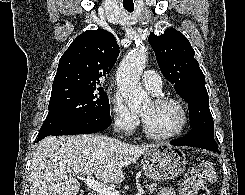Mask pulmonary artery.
Returning a JSON list of instances; mask_svg holds the SVG:
<instances>
[{
    "label": "pulmonary artery",
    "instance_id": "pulmonary-artery-1",
    "mask_svg": "<svg viewBox=\"0 0 245 195\" xmlns=\"http://www.w3.org/2000/svg\"><path fill=\"white\" fill-rule=\"evenodd\" d=\"M142 84L151 94L156 95L162 89V80L159 74L153 70H145L141 77Z\"/></svg>",
    "mask_w": 245,
    "mask_h": 195
}]
</instances>
